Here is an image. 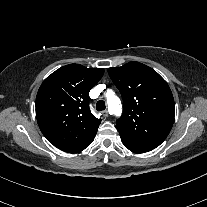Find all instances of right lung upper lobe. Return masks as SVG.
I'll return each instance as SVG.
<instances>
[{"mask_svg":"<svg viewBox=\"0 0 207 207\" xmlns=\"http://www.w3.org/2000/svg\"><path fill=\"white\" fill-rule=\"evenodd\" d=\"M102 68L63 66L48 76L36 97L40 130L54 146L74 152L97 132L101 119L89 108V91L101 79Z\"/></svg>","mask_w":207,"mask_h":207,"instance_id":"cb5924a9","label":"right lung upper lobe"}]
</instances>
